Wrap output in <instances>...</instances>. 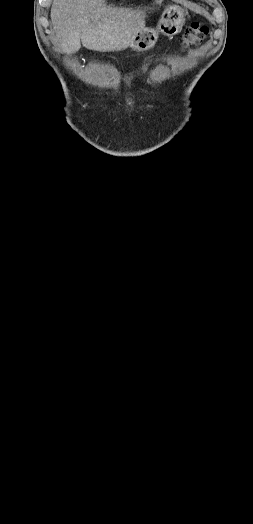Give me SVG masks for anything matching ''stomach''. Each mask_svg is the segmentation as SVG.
<instances>
[{
  "instance_id": "stomach-1",
  "label": "stomach",
  "mask_w": 253,
  "mask_h": 524,
  "mask_svg": "<svg viewBox=\"0 0 253 524\" xmlns=\"http://www.w3.org/2000/svg\"><path fill=\"white\" fill-rule=\"evenodd\" d=\"M186 12L177 5L168 6L162 13L156 30L143 28L138 32L130 47L135 51H146L153 47L157 41L158 33L173 37L180 33L185 23Z\"/></svg>"
}]
</instances>
